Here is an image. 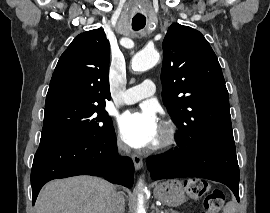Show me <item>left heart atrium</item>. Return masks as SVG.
<instances>
[{"label": "left heart atrium", "mask_w": 270, "mask_h": 213, "mask_svg": "<svg viewBox=\"0 0 270 213\" xmlns=\"http://www.w3.org/2000/svg\"><path fill=\"white\" fill-rule=\"evenodd\" d=\"M121 139L133 148L152 146L160 132L159 118L152 107L140 111H129L119 119Z\"/></svg>", "instance_id": "39dd6f15"}]
</instances>
